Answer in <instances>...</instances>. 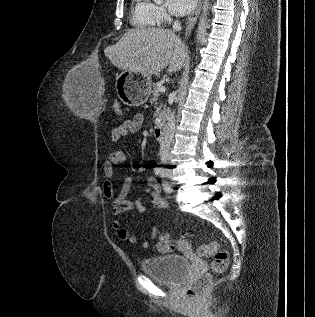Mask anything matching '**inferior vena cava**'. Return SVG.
Returning <instances> with one entry per match:
<instances>
[{
    "instance_id": "inferior-vena-cava-1",
    "label": "inferior vena cava",
    "mask_w": 315,
    "mask_h": 317,
    "mask_svg": "<svg viewBox=\"0 0 315 317\" xmlns=\"http://www.w3.org/2000/svg\"><path fill=\"white\" fill-rule=\"evenodd\" d=\"M173 29L176 31L181 30V23L178 20L174 22ZM174 132L175 116L174 113H171L168 118L166 129L164 131V136L160 143V159L162 162H166L167 160H169V149L171 142L173 141Z\"/></svg>"
}]
</instances>
